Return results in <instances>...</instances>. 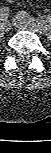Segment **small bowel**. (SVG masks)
<instances>
[{
  "label": "small bowel",
  "mask_w": 51,
  "mask_h": 153,
  "mask_svg": "<svg viewBox=\"0 0 51 153\" xmlns=\"http://www.w3.org/2000/svg\"><path fill=\"white\" fill-rule=\"evenodd\" d=\"M6 2H8V3H12V2H14L15 0H5Z\"/></svg>",
  "instance_id": "c3829d8e"
}]
</instances>
